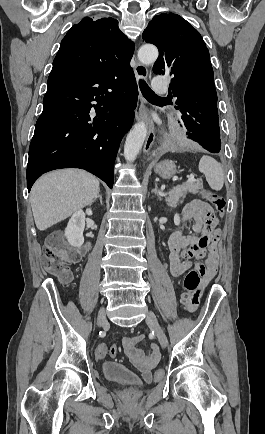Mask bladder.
<instances>
[{
  "mask_svg": "<svg viewBox=\"0 0 265 434\" xmlns=\"http://www.w3.org/2000/svg\"><path fill=\"white\" fill-rule=\"evenodd\" d=\"M103 375L110 381L139 384V380L134 373L127 369L124 365L106 361L101 365Z\"/></svg>",
  "mask_w": 265,
  "mask_h": 434,
  "instance_id": "1",
  "label": "bladder"
}]
</instances>
